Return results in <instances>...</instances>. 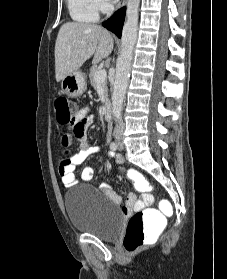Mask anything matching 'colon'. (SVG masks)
I'll list each match as a JSON object with an SVG mask.
<instances>
[{"instance_id": "5ec220e1", "label": "colon", "mask_w": 227, "mask_h": 279, "mask_svg": "<svg viewBox=\"0 0 227 279\" xmlns=\"http://www.w3.org/2000/svg\"><path fill=\"white\" fill-rule=\"evenodd\" d=\"M56 120L63 127H72L76 132L82 131V121H75V104L64 97L55 101ZM60 143L67 147L69 144V134L64 132ZM132 181L136 188L144 195L152 189V185L137 171L131 173ZM165 226V214L158 210L148 208L135 212L129 220L124 238V248L129 252L137 251L147 239L153 238Z\"/></svg>"}]
</instances>
